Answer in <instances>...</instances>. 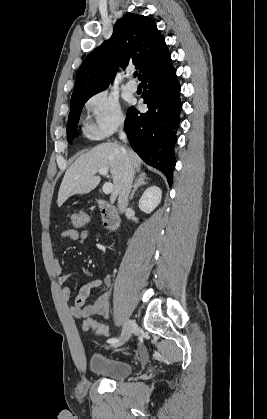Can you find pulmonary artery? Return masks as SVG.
I'll return each instance as SVG.
<instances>
[{
	"label": "pulmonary artery",
	"mask_w": 267,
	"mask_h": 419,
	"mask_svg": "<svg viewBox=\"0 0 267 419\" xmlns=\"http://www.w3.org/2000/svg\"><path fill=\"white\" fill-rule=\"evenodd\" d=\"M137 87H138V85L134 80H129L126 83V88L131 92H135L137 90Z\"/></svg>",
	"instance_id": "pulmonary-artery-1"
}]
</instances>
